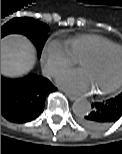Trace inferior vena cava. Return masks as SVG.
<instances>
[{
  "label": "inferior vena cava",
  "mask_w": 122,
  "mask_h": 154,
  "mask_svg": "<svg viewBox=\"0 0 122 154\" xmlns=\"http://www.w3.org/2000/svg\"><path fill=\"white\" fill-rule=\"evenodd\" d=\"M42 73L45 77H50V71L48 69H43Z\"/></svg>",
  "instance_id": "obj_1"
}]
</instances>
